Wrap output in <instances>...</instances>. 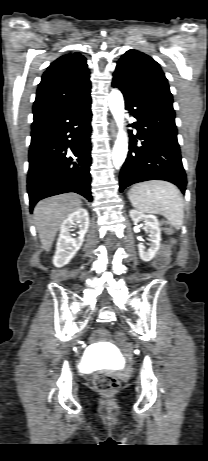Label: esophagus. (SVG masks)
Here are the masks:
<instances>
[{
    "label": "esophagus",
    "instance_id": "esophagus-1",
    "mask_svg": "<svg viewBox=\"0 0 208 461\" xmlns=\"http://www.w3.org/2000/svg\"><path fill=\"white\" fill-rule=\"evenodd\" d=\"M110 131H111V135H112V136H115V135H116V129H115L114 125L111 126Z\"/></svg>",
    "mask_w": 208,
    "mask_h": 461
}]
</instances>
